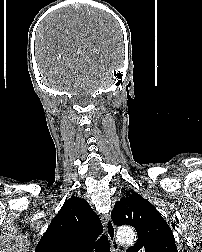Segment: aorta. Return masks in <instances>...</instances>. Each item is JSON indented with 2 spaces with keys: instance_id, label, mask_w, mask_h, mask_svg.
Listing matches in <instances>:
<instances>
[{
  "instance_id": "762f6f07",
  "label": "aorta",
  "mask_w": 202,
  "mask_h": 252,
  "mask_svg": "<svg viewBox=\"0 0 202 252\" xmlns=\"http://www.w3.org/2000/svg\"><path fill=\"white\" fill-rule=\"evenodd\" d=\"M117 237L118 240L123 244H132L136 239V235L131 228L118 230Z\"/></svg>"
}]
</instances>
